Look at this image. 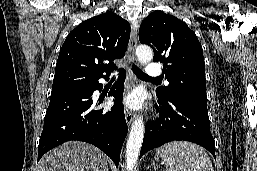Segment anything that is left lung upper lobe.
Listing matches in <instances>:
<instances>
[{
	"label": "left lung upper lobe",
	"mask_w": 257,
	"mask_h": 171,
	"mask_svg": "<svg viewBox=\"0 0 257 171\" xmlns=\"http://www.w3.org/2000/svg\"><path fill=\"white\" fill-rule=\"evenodd\" d=\"M139 40L152 47L154 62L164 63L169 85L156 89L158 98L187 97L207 102L203 49L183 21L155 11L141 23Z\"/></svg>",
	"instance_id": "5c2ea615"
}]
</instances>
